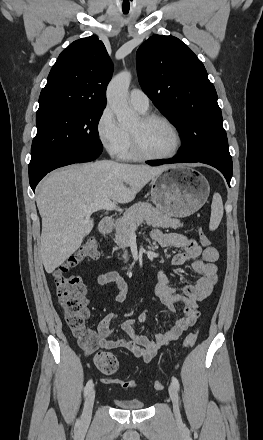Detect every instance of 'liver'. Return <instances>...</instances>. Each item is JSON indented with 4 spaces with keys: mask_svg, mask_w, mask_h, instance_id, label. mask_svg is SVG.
I'll use <instances>...</instances> for the list:
<instances>
[{
    "mask_svg": "<svg viewBox=\"0 0 263 440\" xmlns=\"http://www.w3.org/2000/svg\"><path fill=\"white\" fill-rule=\"evenodd\" d=\"M171 167L104 160L49 174L36 190L42 218L40 253L46 272L62 265L93 229L94 221L84 206L104 199L129 203L150 180Z\"/></svg>",
    "mask_w": 263,
    "mask_h": 440,
    "instance_id": "6515ba94",
    "label": "liver"
}]
</instances>
